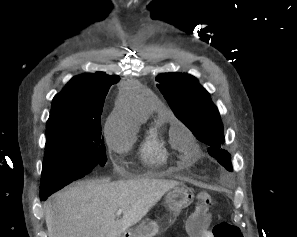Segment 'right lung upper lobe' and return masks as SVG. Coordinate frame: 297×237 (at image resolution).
<instances>
[{"label": "right lung upper lobe", "mask_w": 297, "mask_h": 237, "mask_svg": "<svg viewBox=\"0 0 297 237\" xmlns=\"http://www.w3.org/2000/svg\"><path fill=\"white\" fill-rule=\"evenodd\" d=\"M119 79L103 72L73 77L53 98L47 126L66 121L100 122L107 92Z\"/></svg>", "instance_id": "cb5924a9"}]
</instances>
